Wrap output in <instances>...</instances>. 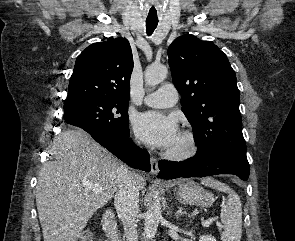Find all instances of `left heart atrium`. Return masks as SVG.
I'll return each instance as SVG.
<instances>
[{
  "label": "left heart atrium",
  "mask_w": 295,
  "mask_h": 241,
  "mask_svg": "<svg viewBox=\"0 0 295 241\" xmlns=\"http://www.w3.org/2000/svg\"><path fill=\"white\" fill-rule=\"evenodd\" d=\"M137 136L146 144L169 149L179 137L176 121L159 112L140 113L133 120Z\"/></svg>",
  "instance_id": "obj_1"
}]
</instances>
